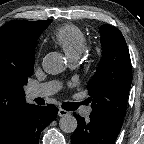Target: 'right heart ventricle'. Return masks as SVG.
<instances>
[{
    "label": "right heart ventricle",
    "mask_w": 144,
    "mask_h": 144,
    "mask_svg": "<svg viewBox=\"0 0 144 144\" xmlns=\"http://www.w3.org/2000/svg\"><path fill=\"white\" fill-rule=\"evenodd\" d=\"M52 39L70 59L77 58L86 44L84 32L74 24H65L58 27L53 32Z\"/></svg>",
    "instance_id": "right-heart-ventricle-1"
}]
</instances>
